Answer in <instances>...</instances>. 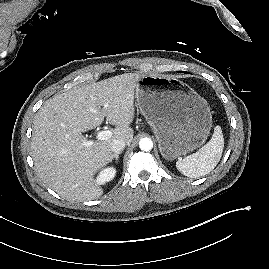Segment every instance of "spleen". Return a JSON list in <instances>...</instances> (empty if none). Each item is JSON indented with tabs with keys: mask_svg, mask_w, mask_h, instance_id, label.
<instances>
[{
	"mask_svg": "<svg viewBox=\"0 0 269 269\" xmlns=\"http://www.w3.org/2000/svg\"><path fill=\"white\" fill-rule=\"evenodd\" d=\"M224 148V138L220 126L214 128L210 141L196 153L176 162L177 169L185 176L198 178L210 173L220 161Z\"/></svg>",
	"mask_w": 269,
	"mask_h": 269,
	"instance_id": "obj_1",
	"label": "spleen"
}]
</instances>
